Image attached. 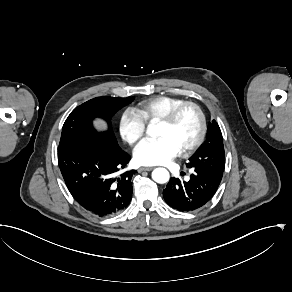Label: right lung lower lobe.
<instances>
[{
  "instance_id": "1",
  "label": "right lung lower lobe",
  "mask_w": 292,
  "mask_h": 292,
  "mask_svg": "<svg viewBox=\"0 0 292 292\" xmlns=\"http://www.w3.org/2000/svg\"><path fill=\"white\" fill-rule=\"evenodd\" d=\"M130 161L120 147L76 145L58 148V164L74 199L90 213L104 217L125 209L132 198L135 170L118 172Z\"/></svg>"
}]
</instances>
